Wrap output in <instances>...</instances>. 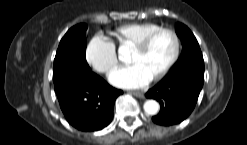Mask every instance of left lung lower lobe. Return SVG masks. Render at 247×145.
Returning <instances> with one entry per match:
<instances>
[{"label":"left lung lower lobe","instance_id":"obj_1","mask_svg":"<svg viewBox=\"0 0 247 145\" xmlns=\"http://www.w3.org/2000/svg\"><path fill=\"white\" fill-rule=\"evenodd\" d=\"M204 80V61H189L174 69L146 93L161 106L152 118L160 125H173L186 119L193 111Z\"/></svg>","mask_w":247,"mask_h":145}]
</instances>
